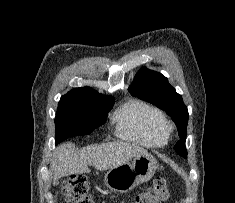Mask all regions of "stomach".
Segmentation results:
<instances>
[{"mask_svg":"<svg viewBox=\"0 0 235 203\" xmlns=\"http://www.w3.org/2000/svg\"><path fill=\"white\" fill-rule=\"evenodd\" d=\"M157 169L156 159L146 153L133 161L110 169L104 176L105 185L114 192L127 193L137 185L150 180Z\"/></svg>","mask_w":235,"mask_h":203,"instance_id":"obj_1","label":"stomach"}]
</instances>
